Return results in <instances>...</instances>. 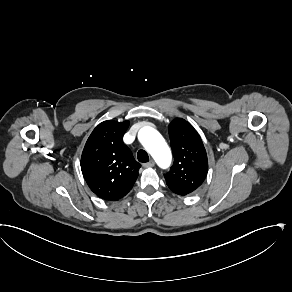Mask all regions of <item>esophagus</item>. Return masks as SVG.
<instances>
[{"label": "esophagus", "mask_w": 292, "mask_h": 292, "mask_svg": "<svg viewBox=\"0 0 292 292\" xmlns=\"http://www.w3.org/2000/svg\"><path fill=\"white\" fill-rule=\"evenodd\" d=\"M143 166L145 168L154 167L155 166V162L153 160H151V161L145 163Z\"/></svg>", "instance_id": "1"}]
</instances>
